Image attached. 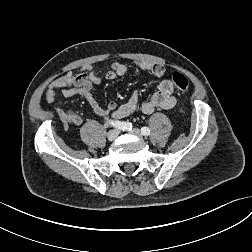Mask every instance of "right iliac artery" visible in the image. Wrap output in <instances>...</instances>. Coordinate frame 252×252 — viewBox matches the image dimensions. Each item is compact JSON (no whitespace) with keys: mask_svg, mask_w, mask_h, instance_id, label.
Masks as SVG:
<instances>
[{"mask_svg":"<svg viewBox=\"0 0 252 252\" xmlns=\"http://www.w3.org/2000/svg\"><path fill=\"white\" fill-rule=\"evenodd\" d=\"M109 124H111L112 126H114V128L122 130V131H130L132 130V124L129 122H124V121H108Z\"/></svg>","mask_w":252,"mask_h":252,"instance_id":"1","label":"right iliac artery"}]
</instances>
